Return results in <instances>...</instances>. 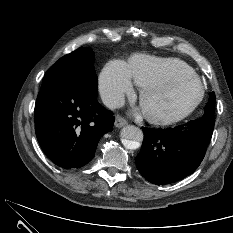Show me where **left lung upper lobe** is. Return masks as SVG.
Returning a JSON list of instances; mask_svg holds the SVG:
<instances>
[{
	"instance_id": "1",
	"label": "left lung upper lobe",
	"mask_w": 233,
	"mask_h": 233,
	"mask_svg": "<svg viewBox=\"0 0 233 233\" xmlns=\"http://www.w3.org/2000/svg\"><path fill=\"white\" fill-rule=\"evenodd\" d=\"M215 101L216 97L214 92L209 94V102L205 107L204 115L201 117L204 120L215 122L214 121V110H215Z\"/></svg>"
}]
</instances>
